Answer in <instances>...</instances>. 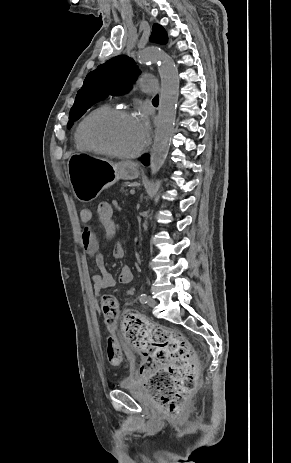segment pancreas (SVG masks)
<instances>
[{"label":"pancreas","instance_id":"obj_1","mask_svg":"<svg viewBox=\"0 0 291 463\" xmlns=\"http://www.w3.org/2000/svg\"><path fill=\"white\" fill-rule=\"evenodd\" d=\"M118 191H119L120 194L128 195L129 188L127 187L126 184L122 183V184L119 186Z\"/></svg>","mask_w":291,"mask_h":463}]
</instances>
